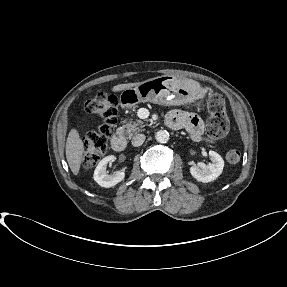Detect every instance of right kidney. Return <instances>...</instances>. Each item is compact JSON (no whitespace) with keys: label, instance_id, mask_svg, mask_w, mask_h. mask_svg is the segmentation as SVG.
I'll use <instances>...</instances> for the list:
<instances>
[{"label":"right kidney","instance_id":"right-kidney-1","mask_svg":"<svg viewBox=\"0 0 287 287\" xmlns=\"http://www.w3.org/2000/svg\"><path fill=\"white\" fill-rule=\"evenodd\" d=\"M115 160L116 157L113 155L106 156L97 165L93 178L101 187L109 188L115 186L124 179L125 173L122 171H116L111 175L106 171L107 164L109 162H114Z\"/></svg>","mask_w":287,"mask_h":287}]
</instances>
